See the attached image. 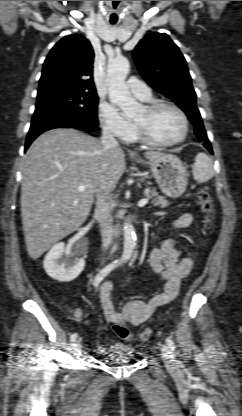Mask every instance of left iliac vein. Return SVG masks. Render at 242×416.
I'll return each instance as SVG.
<instances>
[{"mask_svg":"<svg viewBox=\"0 0 242 416\" xmlns=\"http://www.w3.org/2000/svg\"><path fill=\"white\" fill-rule=\"evenodd\" d=\"M161 350H162V352L167 356V358H169V354H170V349H169V347L168 346H165V345H163L162 347H161ZM168 362H170V361H168Z\"/></svg>","mask_w":242,"mask_h":416,"instance_id":"obj_1","label":"left iliac vein"}]
</instances>
